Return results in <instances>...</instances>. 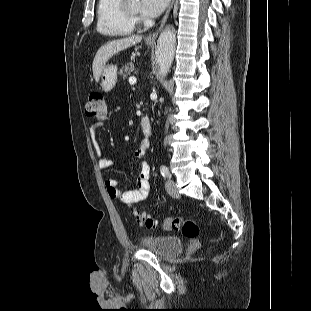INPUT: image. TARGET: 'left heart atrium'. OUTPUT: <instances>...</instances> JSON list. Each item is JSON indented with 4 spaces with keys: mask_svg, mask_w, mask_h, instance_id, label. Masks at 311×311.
<instances>
[{
    "mask_svg": "<svg viewBox=\"0 0 311 311\" xmlns=\"http://www.w3.org/2000/svg\"><path fill=\"white\" fill-rule=\"evenodd\" d=\"M170 0H142L140 12L145 17L158 16L168 5Z\"/></svg>",
    "mask_w": 311,
    "mask_h": 311,
    "instance_id": "1",
    "label": "left heart atrium"
}]
</instances>
